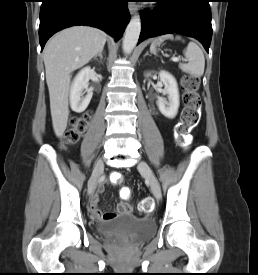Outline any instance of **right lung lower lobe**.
I'll use <instances>...</instances> for the list:
<instances>
[{
    "instance_id": "right-lung-lower-lobe-1",
    "label": "right lung lower lobe",
    "mask_w": 258,
    "mask_h": 275,
    "mask_svg": "<svg viewBox=\"0 0 258 275\" xmlns=\"http://www.w3.org/2000/svg\"><path fill=\"white\" fill-rule=\"evenodd\" d=\"M127 1L42 0L39 26L41 50L54 33L76 25L100 28L118 40L130 20Z\"/></svg>"
}]
</instances>
